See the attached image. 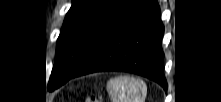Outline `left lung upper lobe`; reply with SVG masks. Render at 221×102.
<instances>
[{"mask_svg":"<svg viewBox=\"0 0 221 102\" xmlns=\"http://www.w3.org/2000/svg\"><path fill=\"white\" fill-rule=\"evenodd\" d=\"M138 0H73L57 40L48 90L66 83Z\"/></svg>","mask_w":221,"mask_h":102,"instance_id":"left-lung-upper-lobe-1","label":"left lung upper lobe"}]
</instances>
